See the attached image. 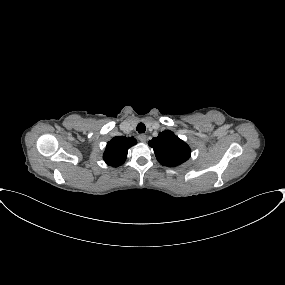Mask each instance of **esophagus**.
I'll use <instances>...</instances> for the list:
<instances>
[{"instance_id": "esophagus-1", "label": "esophagus", "mask_w": 285, "mask_h": 285, "mask_svg": "<svg viewBox=\"0 0 285 285\" xmlns=\"http://www.w3.org/2000/svg\"><path fill=\"white\" fill-rule=\"evenodd\" d=\"M138 140L142 143H145L147 141V136L145 134L138 135Z\"/></svg>"}]
</instances>
